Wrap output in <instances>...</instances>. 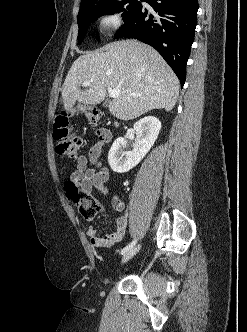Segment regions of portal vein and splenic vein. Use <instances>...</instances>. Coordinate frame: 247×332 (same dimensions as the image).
<instances>
[{"instance_id": "portal-vein-and-splenic-vein-1", "label": "portal vein and splenic vein", "mask_w": 247, "mask_h": 332, "mask_svg": "<svg viewBox=\"0 0 247 332\" xmlns=\"http://www.w3.org/2000/svg\"><path fill=\"white\" fill-rule=\"evenodd\" d=\"M91 83H92V81H85V82L82 83V85L87 87V86H90ZM107 90H108V93H109L111 98H117L121 94L119 89H114V88H111V87H107ZM131 95H135V94H131Z\"/></svg>"}]
</instances>
